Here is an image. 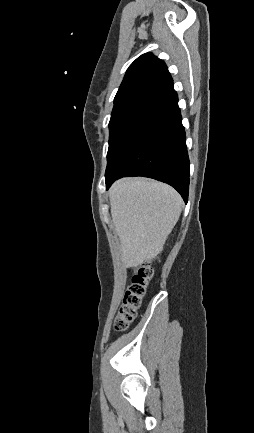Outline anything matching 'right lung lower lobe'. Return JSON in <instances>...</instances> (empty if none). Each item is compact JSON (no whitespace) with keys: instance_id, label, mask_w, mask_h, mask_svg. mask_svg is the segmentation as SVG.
I'll return each instance as SVG.
<instances>
[{"instance_id":"right-lung-lower-lobe-1","label":"right lung lower lobe","mask_w":254,"mask_h":433,"mask_svg":"<svg viewBox=\"0 0 254 433\" xmlns=\"http://www.w3.org/2000/svg\"><path fill=\"white\" fill-rule=\"evenodd\" d=\"M107 161V190L118 178L143 176L171 185L187 203L189 159L173 83L132 114Z\"/></svg>"}]
</instances>
